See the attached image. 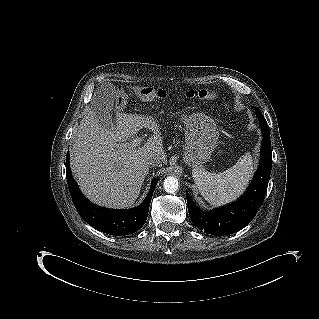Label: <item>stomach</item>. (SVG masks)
I'll use <instances>...</instances> for the list:
<instances>
[{
  "label": "stomach",
  "instance_id": "0dacf381",
  "mask_svg": "<svg viewBox=\"0 0 319 319\" xmlns=\"http://www.w3.org/2000/svg\"><path fill=\"white\" fill-rule=\"evenodd\" d=\"M183 160L191 167L208 162L219 137L213 119L204 114H194L186 119Z\"/></svg>",
  "mask_w": 319,
  "mask_h": 319
}]
</instances>
